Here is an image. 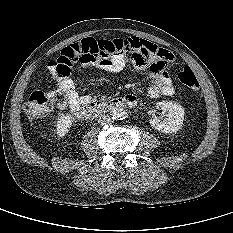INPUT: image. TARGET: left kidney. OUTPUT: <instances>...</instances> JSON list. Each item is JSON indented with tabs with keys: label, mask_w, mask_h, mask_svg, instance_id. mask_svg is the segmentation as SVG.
<instances>
[{
	"label": "left kidney",
	"mask_w": 233,
	"mask_h": 233,
	"mask_svg": "<svg viewBox=\"0 0 233 233\" xmlns=\"http://www.w3.org/2000/svg\"><path fill=\"white\" fill-rule=\"evenodd\" d=\"M156 107L167 112V117L159 119L153 116L150 119V124L155 130L163 133H172L181 129L185 116L184 108L181 105L171 101H162L157 103Z\"/></svg>",
	"instance_id": "left-kidney-1"
}]
</instances>
